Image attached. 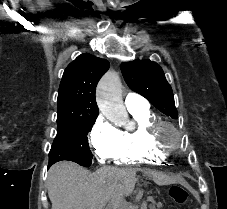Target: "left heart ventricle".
<instances>
[{
	"mask_svg": "<svg viewBox=\"0 0 227 209\" xmlns=\"http://www.w3.org/2000/svg\"><path fill=\"white\" fill-rule=\"evenodd\" d=\"M163 136L166 140L173 141L175 139L174 135L169 130H166Z\"/></svg>",
	"mask_w": 227,
	"mask_h": 209,
	"instance_id": "b2bd125f",
	"label": "left heart ventricle"
}]
</instances>
